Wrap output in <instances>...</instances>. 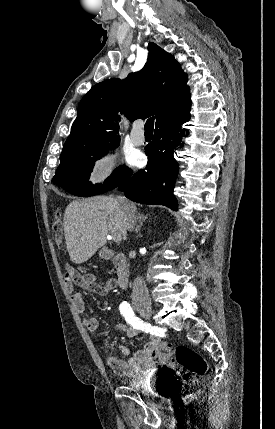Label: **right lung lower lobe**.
<instances>
[{
    "mask_svg": "<svg viewBox=\"0 0 275 429\" xmlns=\"http://www.w3.org/2000/svg\"><path fill=\"white\" fill-rule=\"evenodd\" d=\"M189 119L190 114L156 127L153 141L145 148L148 156L146 168L134 174L130 170L125 180L117 186L128 199L177 210L173 189L178 164L173 151L177 146H182V137L188 131L182 129L181 125Z\"/></svg>",
    "mask_w": 275,
    "mask_h": 429,
    "instance_id": "1",
    "label": "right lung lower lobe"
}]
</instances>
